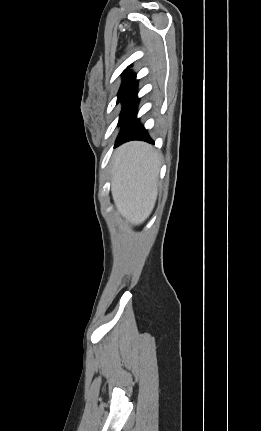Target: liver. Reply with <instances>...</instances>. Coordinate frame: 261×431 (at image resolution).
Masks as SVG:
<instances>
[{"mask_svg":"<svg viewBox=\"0 0 261 431\" xmlns=\"http://www.w3.org/2000/svg\"><path fill=\"white\" fill-rule=\"evenodd\" d=\"M160 156L144 142L120 146L113 155L111 192L118 213L140 225L151 214L156 198Z\"/></svg>","mask_w":261,"mask_h":431,"instance_id":"liver-1","label":"liver"}]
</instances>
